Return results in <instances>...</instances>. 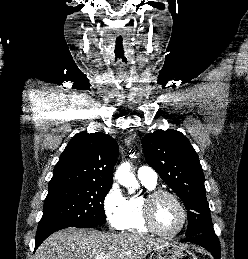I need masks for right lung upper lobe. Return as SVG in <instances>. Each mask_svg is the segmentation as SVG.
Listing matches in <instances>:
<instances>
[{
	"mask_svg": "<svg viewBox=\"0 0 248 259\" xmlns=\"http://www.w3.org/2000/svg\"><path fill=\"white\" fill-rule=\"evenodd\" d=\"M117 142L101 132L76 134L55 166L49 185L96 183L112 185Z\"/></svg>",
	"mask_w": 248,
	"mask_h": 259,
	"instance_id": "right-lung-upper-lobe-1",
	"label": "right lung upper lobe"
}]
</instances>
